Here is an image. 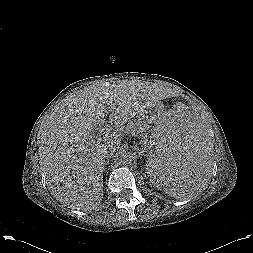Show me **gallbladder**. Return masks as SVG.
I'll return each mask as SVG.
<instances>
[{"label":"gallbladder","mask_w":253,"mask_h":253,"mask_svg":"<svg viewBox=\"0 0 253 253\" xmlns=\"http://www.w3.org/2000/svg\"><path fill=\"white\" fill-rule=\"evenodd\" d=\"M98 128H99L98 126L94 127V129H98Z\"/></svg>","instance_id":"obj_1"}]
</instances>
